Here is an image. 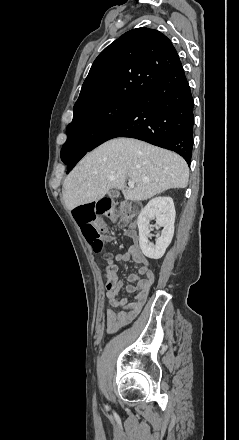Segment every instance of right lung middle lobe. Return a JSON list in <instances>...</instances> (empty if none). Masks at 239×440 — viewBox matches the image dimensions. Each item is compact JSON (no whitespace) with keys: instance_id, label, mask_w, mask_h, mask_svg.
Masks as SVG:
<instances>
[{"instance_id":"1","label":"right lung middle lobe","mask_w":239,"mask_h":440,"mask_svg":"<svg viewBox=\"0 0 239 440\" xmlns=\"http://www.w3.org/2000/svg\"><path fill=\"white\" fill-rule=\"evenodd\" d=\"M135 99L128 96L113 97L74 114L72 122L67 126V141L61 151L71 148L87 150L102 132L125 114Z\"/></svg>"}]
</instances>
